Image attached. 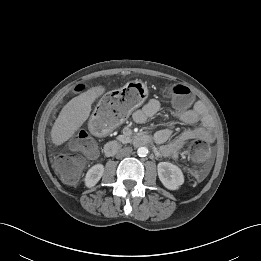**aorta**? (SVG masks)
I'll list each match as a JSON object with an SVG mask.
<instances>
[{"label":"aorta","instance_id":"1","mask_svg":"<svg viewBox=\"0 0 261 261\" xmlns=\"http://www.w3.org/2000/svg\"><path fill=\"white\" fill-rule=\"evenodd\" d=\"M137 154L140 157H145L148 154V149L146 147H139L137 149Z\"/></svg>","mask_w":261,"mask_h":261}]
</instances>
